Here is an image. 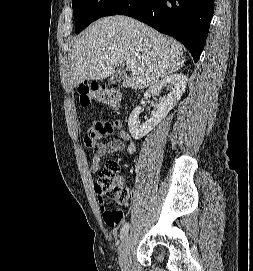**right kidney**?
I'll use <instances>...</instances> for the list:
<instances>
[{
	"instance_id": "1",
	"label": "right kidney",
	"mask_w": 253,
	"mask_h": 271,
	"mask_svg": "<svg viewBox=\"0 0 253 271\" xmlns=\"http://www.w3.org/2000/svg\"><path fill=\"white\" fill-rule=\"evenodd\" d=\"M187 85V77L182 74H172L167 76L158 83L150 87L144 94V98L141 100V105L136 107L130 114L128 120V127L132 137L138 140L147 135L157 124H159L163 118L167 116L170 110L180 100L182 94L185 91ZM167 87L169 94L160 99L159 103L156 104V112L152 114L150 119L146 120L145 123L140 124L139 115L145 105V99L150 96L158 95L161 90Z\"/></svg>"
}]
</instances>
